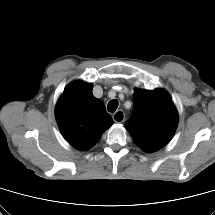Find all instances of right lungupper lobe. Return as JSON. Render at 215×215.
I'll return each instance as SVG.
<instances>
[{
    "instance_id": "1",
    "label": "right lung upper lobe",
    "mask_w": 215,
    "mask_h": 215,
    "mask_svg": "<svg viewBox=\"0 0 215 215\" xmlns=\"http://www.w3.org/2000/svg\"><path fill=\"white\" fill-rule=\"evenodd\" d=\"M93 85L76 81L68 85L56 106V120L65 140L74 148L88 150L113 120L101 100L92 94Z\"/></svg>"
}]
</instances>
